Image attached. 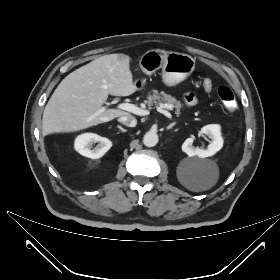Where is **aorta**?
Instances as JSON below:
<instances>
[{"label":"aorta","instance_id":"aorta-1","mask_svg":"<svg viewBox=\"0 0 280 280\" xmlns=\"http://www.w3.org/2000/svg\"><path fill=\"white\" fill-rule=\"evenodd\" d=\"M158 135L155 132H147L143 137V144L147 147H153L158 143Z\"/></svg>","mask_w":280,"mask_h":280}]
</instances>
